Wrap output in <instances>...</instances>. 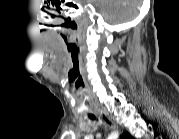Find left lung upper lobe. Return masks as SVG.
Segmentation results:
<instances>
[{
    "label": "left lung upper lobe",
    "instance_id": "obj_1",
    "mask_svg": "<svg viewBox=\"0 0 179 139\" xmlns=\"http://www.w3.org/2000/svg\"><path fill=\"white\" fill-rule=\"evenodd\" d=\"M125 138H127V139H131L132 136H131L129 133H125Z\"/></svg>",
    "mask_w": 179,
    "mask_h": 139
}]
</instances>
